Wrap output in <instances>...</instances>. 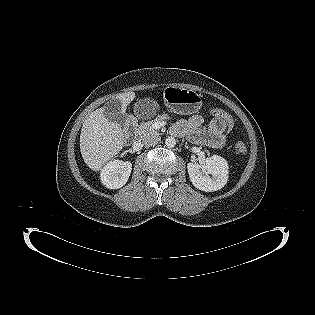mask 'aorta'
Masks as SVG:
<instances>
[{
  "label": "aorta",
  "instance_id": "obj_1",
  "mask_svg": "<svg viewBox=\"0 0 315 315\" xmlns=\"http://www.w3.org/2000/svg\"><path fill=\"white\" fill-rule=\"evenodd\" d=\"M165 145L168 147V148H173L175 145H176V140L174 137H168L166 138L165 140Z\"/></svg>",
  "mask_w": 315,
  "mask_h": 315
}]
</instances>
